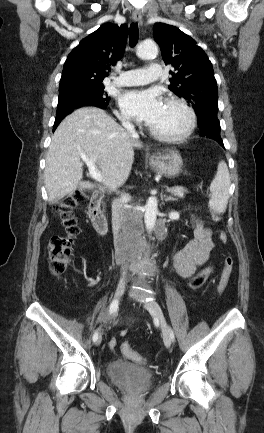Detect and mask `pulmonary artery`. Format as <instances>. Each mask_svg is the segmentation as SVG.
<instances>
[{
    "instance_id": "pulmonary-artery-1",
    "label": "pulmonary artery",
    "mask_w": 264,
    "mask_h": 433,
    "mask_svg": "<svg viewBox=\"0 0 264 433\" xmlns=\"http://www.w3.org/2000/svg\"><path fill=\"white\" fill-rule=\"evenodd\" d=\"M163 75L159 64L151 63L146 69H130L122 71L120 76L114 80L118 86H138L161 79Z\"/></svg>"
}]
</instances>
